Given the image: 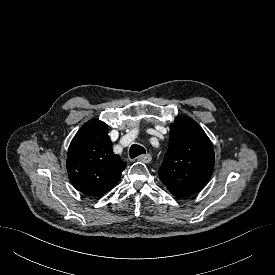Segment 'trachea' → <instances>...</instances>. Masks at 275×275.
Returning a JSON list of instances; mask_svg holds the SVG:
<instances>
[{
    "mask_svg": "<svg viewBox=\"0 0 275 275\" xmlns=\"http://www.w3.org/2000/svg\"><path fill=\"white\" fill-rule=\"evenodd\" d=\"M145 153H146L145 148H143L140 145H136V144L132 145L129 150V155H130V158H132V159L141 155V154H145Z\"/></svg>",
    "mask_w": 275,
    "mask_h": 275,
    "instance_id": "3493384b",
    "label": "trachea"
}]
</instances>
